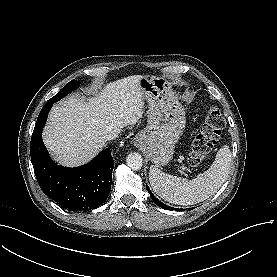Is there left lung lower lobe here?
Listing matches in <instances>:
<instances>
[{
  "instance_id": "0a47b994",
  "label": "left lung lower lobe",
  "mask_w": 277,
  "mask_h": 277,
  "mask_svg": "<svg viewBox=\"0 0 277 277\" xmlns=\"http://www.w3.org/2000/svg\"><path fill=\"white\" fill-rule=\"evenodd\" d=\"M146 189H147V191L149 192V194H150L152 200L154 201V203H155L156 205H158L159 207H161V208H163V209H166V210H169V209H170L169 206H167V205H165L164 203H162L161 201H159V200L153 195V193L150 191V189H149V187H148L147 185H146Z\"/></svg>"
}]
</instances>
